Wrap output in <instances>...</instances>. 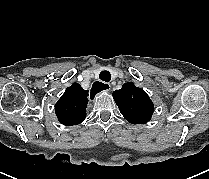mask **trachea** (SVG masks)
I'll list each match as a JSON object with an SVG mask.
<instances>
[{
    "label": "trachea",
    "instance_id": "1",
    "mask_svg": "<svg viewBox=\"0 0 209 179\" xmlns=\"http://www.w3.org/2000/svg\"><path fill=\"white\" fill-rule=\"evenodd\" d=\"M102 81L109 82L111 80V74L108 71H102L99 75Z\"/></svg>",
    "mask_w": 209,
    "mask_h": 179
}]
</instances>
